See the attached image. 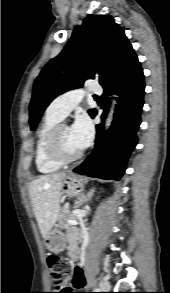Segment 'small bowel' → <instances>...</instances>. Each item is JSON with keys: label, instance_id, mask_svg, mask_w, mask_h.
<instances>
[{"label": "small bowel", "instance_id": "1", "mask_svg": "<svg viewBox=\"0 0 170 293\" xmlns=\"http://www.w3.org/2000/svg\"><path fill=\"white\" fill-rule=\"evenodd\" d=\"M77 239L76 230H70L68 232V240L72 245H74ZM71 285L75 288H84L86 286V278L84 274V269L81 266H77L74 270V276L71 280Z\"/></svg>", "mask_w": 170, "mask_h": 293}]
</instances>
